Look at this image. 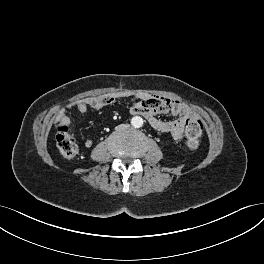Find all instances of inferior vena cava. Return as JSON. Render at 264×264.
<instances>
[{
  "label": "inferior vena cava",
  "mask_w": 264,
  "mask_h": 264,
  "mask_svg": "<svg viewBox=\"0 0 264 264\" xmlns=\"http://www.w3.org/2000/svg\"><path fill=\"white\" fill-rule=\"evenodd\" d=\"M132 125L131 124H126V125H117L116 129L117 130H126V129H131Z\"/></svg>",
  "instance_id": "inferior-vena-cava-1"
}]
</instances>
